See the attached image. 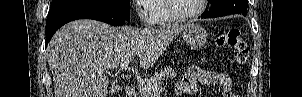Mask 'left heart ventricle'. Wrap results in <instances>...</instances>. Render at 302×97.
I'll list each match as a JSON object with an SVG mask.
<instances>
[{"mask_svg": "<svg viewBox=\"0 0 302 97\" xmlns=\"http://www.w3.org/2000/svg\"><path fill=\"white\" fill-rule=\"evenodd\" d=\"M173 6L179 14H189L199 8L200 0H173Z\"/></svg>", "mask_w": 302, "mask_h": 97, "instance_id": "obj_1", "label": "left heart ventricle"}]
</instances>
